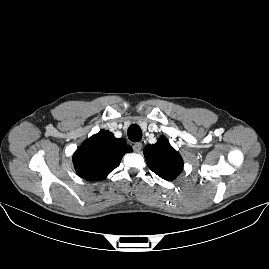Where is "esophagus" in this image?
Listing matches in <instances>:
<instances>
[{
	"mask_svg": "<svg viewBox=\"0 0 269 269\" xmlns=\"http://www.w3.org/2000/svg\"><path fill=\"white\" fill-rule=\"evenodd\" d=\"M143 144L140 142H137L133 145V150L134 152H140V150L142 149Z\"/></svg>",
	"mask_w": 269,
	"mask_h": 269,
	"instance_id": "34e87169",
	"label": "esophagus"
}]
</instances>
